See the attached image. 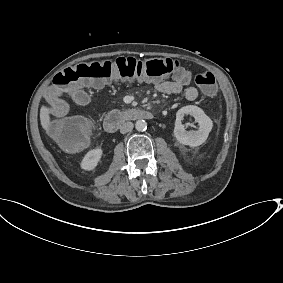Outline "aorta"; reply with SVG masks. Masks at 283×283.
I'll return each mask as SVG.
<instances>
[{
    "label": "aorta",
    "mask_w": 283,
    "mask_h": 283,
    "mask_svg": "<svg viewBox=\"0 0 283 283\" xmlns=\"http://www.w3.org/2000/svg\"><path fill=\"white\" fill-rule=\"evenodd\" d=\"M135 128L137 131H145L147 129V123L145 120H137L135 123Z\"/></svg>",
    "instance_id": "1"
}]
</instances>
